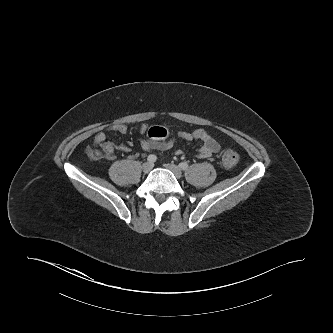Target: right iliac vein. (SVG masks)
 <instances>
[{"label": "right iliac vein", "instance_id": "obj_1", "mask_svg": "<svg viewBox=\"0 0 333 333\" xmlns=\"http://www.w3.org/2000/svg\"><path fill=\"white\" fill-rule=\"evenodd\" d=\"M153 168V163H150V162H145L143 165H142V170L144 173H149Z\"/></svg>", "mask_w": 333, "mask_h": 333}]
</instances>
